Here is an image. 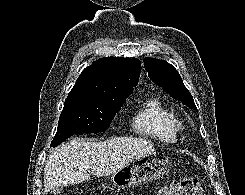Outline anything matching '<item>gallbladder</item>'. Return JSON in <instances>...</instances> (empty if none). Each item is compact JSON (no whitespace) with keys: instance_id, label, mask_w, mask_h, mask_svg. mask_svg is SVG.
<instances>
[{"instance_id":"1","label":"gallbladder","mask_w":245,"mask_h":195,"mask_svg":"<svg viewBox=\"0 0 245 195\" xmlns=\"http://www.w3.org/2000/svg\"><path fill=\"white\" fill-rule=\"evenodd\" d=\"M52 192L54 193V195L60 194L61 192H63V187L59 186V187H55Z\"/></svg>"}]
</instances>
